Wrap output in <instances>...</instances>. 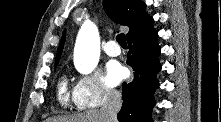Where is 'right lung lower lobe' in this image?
Instances as JSON below:
<instances>
[{"label":"right lung lower lobe","instance_id":"obj_1","mask_svg":"<svg viewBox=\"0 0 221 122\" xmlns=\"http://www.w3.org/2000/svg\"><path fill=\"white\" fill-rule=\"evenodd\" d=\"M157 37L151 24L127 40L130 49L127 64L134 70V79L122 85L123 106L117 116L119 122H152L153 91L159 86L156 73L161 70Z\"/></svg>","mask_w":221,"mask_h":122}]
</instances>
